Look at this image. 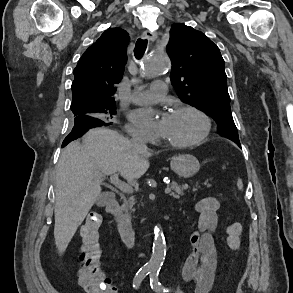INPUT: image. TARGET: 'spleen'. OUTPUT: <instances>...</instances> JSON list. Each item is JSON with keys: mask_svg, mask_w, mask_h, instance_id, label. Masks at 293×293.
I'll return each instance as SVG.
<instances>
[{"mask_svg": "<svg viewBox=\"0 0 293 293\" xmlns=\"http://www.w3.org/2000/svg\"><path fill=\"white\" fill-rule=\"evenodd\" d=\"M237 187H238L239 190H243V183H242V180L240 178L237 181Z\"/></svg>", "mask_w": 293, "mask_h": 293, "instance_id": "1", "label": "spleen"}]
</instances>
